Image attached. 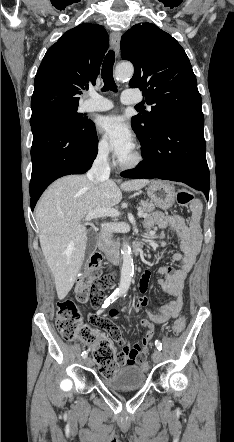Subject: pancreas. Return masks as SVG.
Returning <instances> with one entry per match:
<instances>
[{
  "label": "pancreas",
  "mask_w": 234,
  "mask_h": 442,
  "mask_svg": "<svg viewBox=\"0 0 234 442\" xmlns=\"http://www.w3.org/2000/svg\"><path fill=\"white\" fill-rule=\"evenodd\" d=\"M139 205H140L139 208L146 214L153 212L156 208V204L148 201H141ZM115 245H116L115 243H112V246Z\"/></svg>",
  "instance_id": "obj_1"
}]
</instances>
